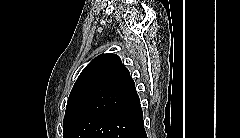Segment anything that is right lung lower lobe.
<instances>
[{
  "instance_id": "98d812e1",
  "label": "right lung lower lobe",
  "mask_w": 240,
  "mask_h": 138,
  "mask_svg": "<svg viewBox=\"0 0 240 138\" xmlns=\"http://www.w3.org/2000/svg\"><path fill=\"white\" fill-rule=\"evenodd\" d=\"M86 138H147L139 97L109 113Z\"/></svg>"
}]
</instances>
